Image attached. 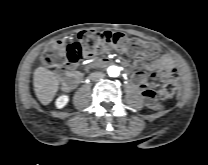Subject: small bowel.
Masks as SVG:
<instances>
[{
	"label": "small bowel",
	"mask_w": 208,
	"mask_h": 165,
	"mask_svg": "<svg viewBox=\"0 0 208 165\" xmlns=\"http://www.w3.org/2000/svg\"><path fill=\"white\" fill-rule=\"evenodd\" d=\"M147 58H154L155 56H146ZM110 58L108 56H97L90 59V63L95 65L96 63H108ZM124 66H127L125 61L122 62ZM144 63L143 60L138 58L134 61V66L137 70L133 73V78L140 83L142 88L143 97L150 107H156L155 104V91L151 88L150 84L147 82L146 74L141 70ZM146 69L152 72V77L160 79L162 81L174 82L178 76V69L175 66L172 58L169 55H161L155 61L147 64ZM66 71L68 72V79L71 82H76L79 79V73L77 71V63L75 61H68L66 63Z\"/></svg>",
	"instance_id": "c3829d8e"
}]
</instances>
